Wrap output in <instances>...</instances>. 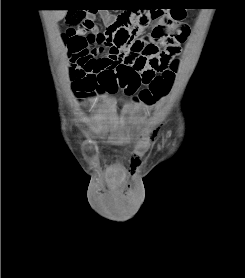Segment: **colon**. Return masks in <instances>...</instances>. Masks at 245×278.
Returning <instances> with one entry per match:
<instances>
[{"label": "colon", "instance_id": "colon-1", "mask_svg": "<svg viewBox=\"0 0 245 278\" xmlns=\"http://www.w3.org/2000/svg\"><path fill=\"white\" fill-rule=\"evenodd\" d=\"M134 10L125 11L119 14L117 19L105 30L99 32L96 36L89 35L81 38L75 34L77 30H91L94 28L92 21L85 17L83 11H70L65 16L66 31L62 34V41L67 50V56L70 60H76L80 54L98 53L95 48L97 45H109L113 48H126L130 52H137L144 49L148 55H161L163 50L159 44L164 39L166 49L171 52H178L181 45L184 44L186 37L170 24L158 26L151 31V34L143 39L136 36L143 30L152 25L160 17L159 10ZM172 18L176 21L182 20L185 14L182 10H173ZM90 64L82 68L70 69V81L72 90L78 99L87 96L93 87V82L88 72ZM177 71V61L174 60L170 67L161 73L146 71L143 75L128 74L127 77H121L117 87H111L110 92H117L121 89L126 94L137 92L140 83L146 85L139 92V99L148 105H152L165 97L172 86ZM151 147L146 141H140L136 152L139 155H146Z\"/></svg>", "mask_w": 245, "mask_h": 278}]
</instances>
